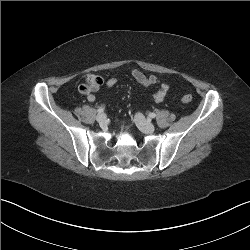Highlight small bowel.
Masks as SVG:
<instances>
[{
    "label": "small bowel",
    "instance_id": "obj_1",
    "mask_svg": "<svg viewBox=\"0 0 250 250\" xmlns=\"http://www.w3.org/2000/svg\"><path fill=\"white\" fill-rule=\"evenodd\" d=\"M131 75L133 79L142 87H153L159 85V87L152 94L151 99L154 103H160L166 98L169 92V86L166 83H162L157 76L154 75L147 76L143 72L137 69H133L131 71ZM116 83H117V78L111 77L108 80H106L105 86L107 88H112L113 86L116 85ZM99 86L93 87L83 92L84 94H86L88 101L90 102L95 101L96 97L94 93L98 90Z\"/></svg>",
    "mask_w": 250,
    "mask_h": 250
}]
</instances>
